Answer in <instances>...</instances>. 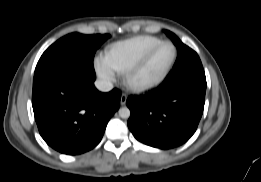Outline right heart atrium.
I'll return each instance as SVG.
<instances>
[{"mask_svg": "<svg viewBox=\"0 0 261 182\" xmlns=\"http://www.w3.org/2000/svg\"><path fill=\"white\" fill-rule=\"evenodd\" d=\"M94 66L99 77L106 83H112L116 79V72L108 62L107 58L98 55L94 59Z\"/></svg>", "mask_w": 261, "mask_h": 182, "instance_id": "1", "label": "right heart atrium"}]
</instances>
